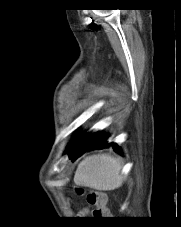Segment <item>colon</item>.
I'll return each mask as SVG.
<instances>
[{"instance_id": "1", "label": "colon", "mask_w": 181, "mask_h": 227, "mask_svg": "<svg viewBox=\"0 0 181 227\" xmlns=\"http://www.w3.org/2000/svg\"><path fill=\"white\" fill-rule=\"evenodd\" d=\"M79 195L84 194V189L78 187L76 189ZM87 203L89 205L95 206L93 211V216L97 218H108L109 210L107 208V196L104 192L98 190H90L86 196Z\"/></svg>"}]
</instances>
